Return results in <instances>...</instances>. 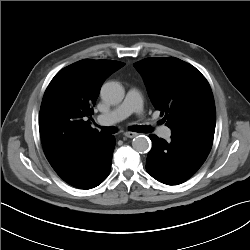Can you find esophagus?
Instances as JSON below:
<instances>
[{
  "instance_id": "obj_1",
  "label": "esophagus",
  "mask_w": 250,
  "mask_h": 250,
  "mask_svg": "<svg viewBox=\"0 0 250 250\" xmlns=\"http://www.w3.org/2000/svg\"><path fill=\"white\" fill-rule=\"evenodd\" d=\"M124 135L128 138H134L136 137L138 134L134 133V132H125Z\"/></svg>"
}]
</instances>
